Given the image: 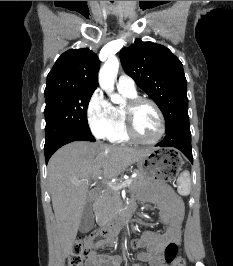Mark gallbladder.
Returning a JSON list of instances; mask_svg holds the SVG:
<instances>
[{
	"label": "gallbladder",
	"mask_w": 233,
	"mask_h": 266,
	"mask_svg": "<svg viewBox=\"0 0 233 266\" xmlns=\"http://www.w3.org/2000/svg\"><path fill=\"white\" fill-rule=\"evenodd\" d=\"M93 224H94V216L92 212V207L91 204L87 202L82 212L79 231L81 233L89 232L93 228Z\"/></svg>",
	"instance_id": "obj_1"
}]
</instances>
